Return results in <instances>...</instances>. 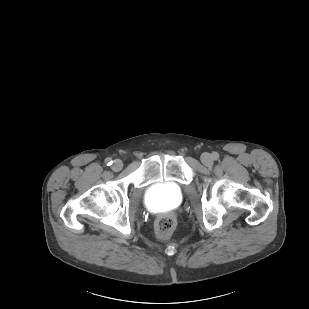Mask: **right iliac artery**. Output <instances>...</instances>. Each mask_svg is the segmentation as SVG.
Wrapping results in <instances>:
<instances>
[{"instance_id":"82829eb1","label":"right iliac artery","mask_w":309,"mask_h":309,"mask_svg":"<svg viewBox=\"0 0 309 309\" xmlns=\"http://www.w3.org/2000/svg\"><path fill=\"white\" fill-rule=\"evenodd\" d=\"M105 163L108 165V166H110V165H112V160L110 159V158H107L106 160H105Z\"/></svg>"}]
</instances>
